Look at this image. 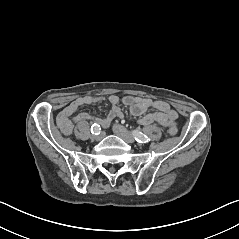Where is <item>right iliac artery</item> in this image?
Masks as SVG:
<instances>
[{"label": "right iliac artery", "mask_w": 239, "mask_h": 239, "mask_svg": "<svg viewBox=\"0 0 239 239\" xmlns=\"http://www.w3.org/2000/svg\"><path fill=\"white\" fill-rule=\"evenodd\" d=\"M91 132H92V134H94V135H99L100 132H101V127H100V125L94 123V124L92 125V127H91Z\"/></svg>", "instance_id": "obj_1"}]
</instances>
